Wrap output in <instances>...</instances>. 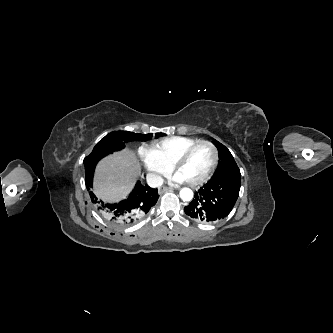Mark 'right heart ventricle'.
I'll return each instance as SVG.
<instances>
[{"label": "right heart ventricle", "mask_w": 333, "mask_h": 333, "mask_svg": "<svg viewBox=\"0 0 333 333\" xmlns=\"http://www.w3.org/2000/svg\"><path fill=\"white\" fill-rule=\"evenodd\" d=\"M198 140L199 139L190 137L171 136L154 142L152 145V150L156 153L164 165H166L168 168H171L176 158L187 147L197 142Z\"/></svg>", "instance_id": "obj_1"}]
</instances>
